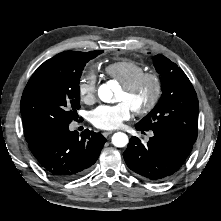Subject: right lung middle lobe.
<instances>
[{
  "label": "right lung middle lobe",
  "instance_id": "obj_1",
  "mask_svg": "<svg viewBox=\"0 0 221 221\" xmlns=\"http://www.w3.org/2000/svg\"><path fill=\"white\" fill-rule=\"evenodd\" d=\"M103 51L78 52L70 61L43 63L23 92V122L41 134L76 120L80 108L79 82L86 63Z\"/></svg>",
  "mask_w": 221,
  "mask_h": 221
}]
</instances>
